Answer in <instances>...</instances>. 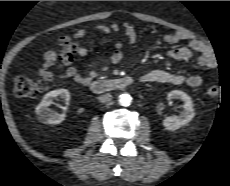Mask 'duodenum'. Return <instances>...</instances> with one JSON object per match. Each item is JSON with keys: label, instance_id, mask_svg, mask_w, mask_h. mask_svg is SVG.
Returning a JSON list of instances; mask_svg holds the SVG:
<instances>
[{"label": "duodenum", "instance_id": "duodenum-1", "mask_svg": "<svg viewBox=\"0 0 230 186\" xmlns=\"http://www.w3.org/2000/svg\"><path fill=\"white\" fill-rule=\"evenodd\" d=\"M135 82L134 78L124 76L112 79H100L91 83V90L95 93H106L113 90L124 89Z\"/></svg>", "mask_w": 230, "mask_h": 186}]
</instances>
